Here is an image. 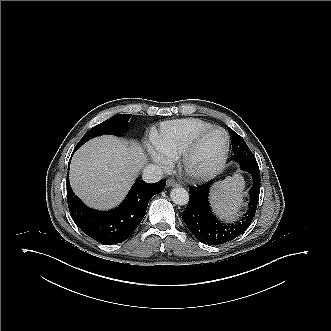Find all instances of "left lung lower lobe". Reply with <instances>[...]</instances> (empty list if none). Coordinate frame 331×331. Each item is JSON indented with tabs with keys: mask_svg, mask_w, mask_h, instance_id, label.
I'll list each match as a JSON object with an SVG mask.
<instances>
[{
	"mask_svg": "<svg viewBox=\"0 0 331 331\" xmlns=\"http://www.w3.org/2000/svg\"><path fill=\"white\" fill-rule=\"evenodd\" d=\"M232 148L239 147L236 140L231 138ZM241 169L248 172L253 179L250 189L249 211L236 224L224 225L220 223L211 212L208 202V191L212 180L189 189L190 200L186 209L182 212V219L190 232L202 243L220 245L229 242L241 235L250 225L259 199L260 171L258 166L240 163Z\"/></svg>",
	"mask_w": 331,
	"mask_h": 331,
	"instance_id": "1",
	"label": "left lung lower lobe"
}]
</instances>
